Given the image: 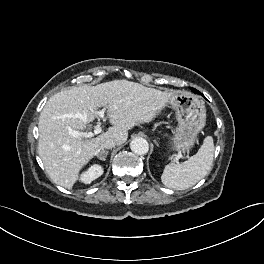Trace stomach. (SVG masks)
<instances>
[{
	"mask_svg": "<svg viewBox=\"0 0 264 264\" xmlns=\"http://www.w3.org/2000/svg\"><path fill=\"white\" fill-rule=\"evenodd\" d=\"M168 105L175 111L178 121L171 147L176 151H189L205 126V105L198 96L188 92H174Z\"/></svg>",
	"mask_w": 264,
	"mask_h": 264,
	"instance_id": "obj_1",
	"label": "stomach"
}]
</instances>
